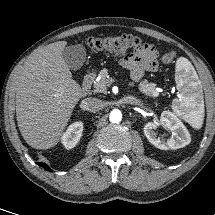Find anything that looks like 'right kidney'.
I'll list each match as a JSON object with an SVG mask.
<instances>
[{"label": "right kidney", "instance_id": "right-kidney-1", "mask_svg": "<svg viewBox=\"0 0 215 215\" xmlns=\"http://www.w3.org/2000/svg\"><path fill=\"white\" fill-rule=\"evenodd\" d=\"M83 131V123L77 121L72 123L62 135L61 141L66 149H72L79 142Z\"/></svg>", "mask_w": 215, "mask_h": 215}]
</instances>
